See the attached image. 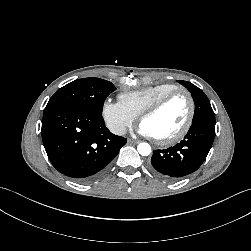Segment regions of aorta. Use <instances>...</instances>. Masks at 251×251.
I'll use <instances>...</instances> for the list:
<instances>
[{"instance_id":"aorta-1","label":"aorta","mask_w":251,"mask_h":251,"mask_svg":"<svg viewBox=\"0 0 251 251\" xmlns=\"http://www.w3.org/2000/svg\"><path fill=\"white\" fill-rule=\"evenodd\" d=\"M137 150L140 155L148 156L151 153V146L148 143H140L137 146Z\"/></svg>"}]
</instances>
